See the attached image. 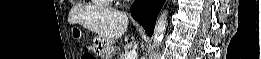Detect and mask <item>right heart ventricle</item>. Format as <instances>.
I'll list each match as a JSON object with an SVG mask.
<instances>
[{
	"label": "right heart ventricle",
	"instance_id": "1",
	"mask_svg": "<svg viewBox=\"0 0 261 59\" xmlns=\"http://www.w3.org/2000/svg\"><path fill=\"white\" fill-rule=\"evenodd\" d=\"M99 2H101L102 4L108 5L110 3H112V0H100Z\"/></svg>",
	"mask_w": 261,
	"mask_h": 59
}]
</instances>
